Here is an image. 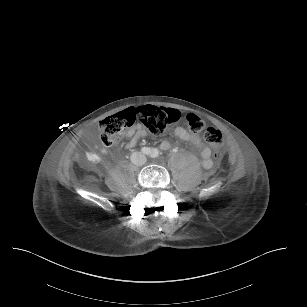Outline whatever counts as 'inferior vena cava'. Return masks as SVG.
I'll list each match as a JSON object with an SVG mask.
<instances>
[{
  "instance_id": "602c4592",
  "label": "inferior vena cava",
  "mask_w": 307,
  "mask_h": 307,
  "mask_svg": "<svg viewBox=\"0 0 307 307\" xmlns=\"http://www.w3.org/2000/svg\"><path fill=\"white\" fill-rule=\"evenodd\" d=\"M131 161L135 165L141 166L146 162V157L143 154H140L139 152H134L131 155Z\"/></svg>"
}]
</instances>
